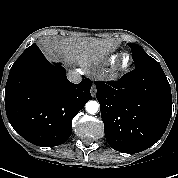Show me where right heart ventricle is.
Wrapping results in <instances>:
<instances>
[{"mask_svg": "<svg viewBox=\"0 0 178 178\" xmlns=\"http://www.w3.org/2000/svg\"><path fill=\"white\" fill-rule=\"evenodd\" d=\"M117 58H118L117 55H113L108 59V61H109V63H114L117 60Z\"/></svg>", "mask_w": 178, "mask_h": 178, "instance_id": "1", "label": "right heart ventricle"}]
</instances>
